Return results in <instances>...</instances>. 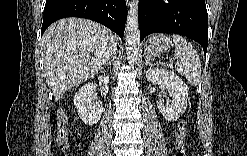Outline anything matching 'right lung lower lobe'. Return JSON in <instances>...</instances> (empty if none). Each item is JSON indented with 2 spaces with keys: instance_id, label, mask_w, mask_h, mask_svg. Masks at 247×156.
<instances>
[{
  "instance_id": "98d812e1",
  "label": "right lung lower lobe",
  "mask_w": 247,
  "mask_h": 156,
  "mask_svg": "<svg viewBox=\"0 0 247 156\" xmlns=\"http://www.w3.org/2000/svg\"><path fill=\"white\" fill-rule=\"evenodd\" d=\"M81 17L99 22L124 36L127 18L125 0H47L41 34L56 20Z\"/></svg>"
}]
</instances>
